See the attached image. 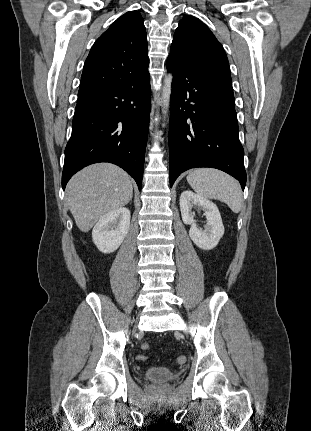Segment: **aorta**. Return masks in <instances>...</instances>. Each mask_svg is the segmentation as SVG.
I'll list each match as a JSON object with an SVG mask.
<instances>
[{
  "label": "aorta",
  "instance_id": "obj_1",
  "mask_svg": "<svg viewBox=\"0 0 311 431\" xmlns=\"http://www.w3.org/2000/svg\"><path fill=\"white\" fill-rule=\"evenodd\" d=\"M172 80H173V76H171V74H168V76H166L164 80V86L162 90V102H163L164 114H166L169 108Z\"/></svg>",
  "mask_w": 311,
  "mask_h": 431
}]
</instances>
